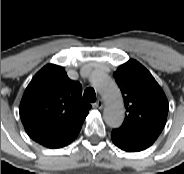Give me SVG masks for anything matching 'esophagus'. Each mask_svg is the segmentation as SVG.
I'll list each match as a JSON object with an SVG mask.
<instances>
[{"label":"esophagus","instance_id":"esophagus-1","mask_svg":"<svg viewBox=\"0 0 184 174\" xmlns=\"http://www.w3.org/2000/svg\"><path fill=\"white\" fill-rule=\"evenodd\" d=\"M94 106L98 109H102L104 107V102L102 99H98Z\"/></svg>","mask_w":184,"mask_h":174}]
</instances>
